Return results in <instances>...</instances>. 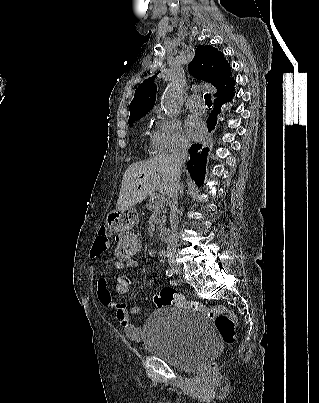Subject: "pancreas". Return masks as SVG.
<instances>
[{
  "label": "pancreas",
  "instance_id": "obj_1",
  "mask_svg": "<svg viewBox=\"0 0 319 403\" xmlns=\"http://www.w3.org/2000/svg\"><path fill=\"white\" fill-rule=\"evenodd\" d=\"M148 210L153 211L154 213L158 214L157 218V230H160L161 228L164 227L165 222H166V209H165V201L160 202V199L158 200H149V203L147 204Z\"/></svg>",
  "mask_w": 319,
  "mask_h": 403
}]
</instances>
